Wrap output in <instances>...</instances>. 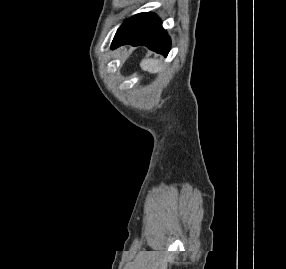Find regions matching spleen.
<instances>
[{"instance_id":"3e777b00","label":"spleen","mask_w":286,"mask_h":269,"mask_svg":"<svg viewBox=\"0 0 286 269\" xmlns=\"http://www.w3.org/2000/svg\"><path fill=\"white\" fill-rule=\"evenodd\" d=\"M140 65L144 71H148L151 73H156L163 69V67L159 64V61L153 59H147L145 61H142Z\"/></svg>"}]
</instances>
